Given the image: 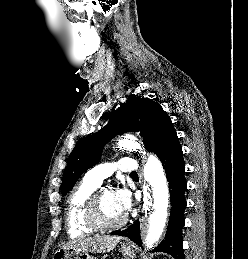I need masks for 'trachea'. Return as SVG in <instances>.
I'll use <instances>...</instances> for the list:
<instances>
[{"label": "trachea", "mask_w": 248, "mask_h": 259, "mask_svg": "<svg viewBox=\"0 0 248 259\" xmlns=\"http://www.w3.org/2000/svg\"><path fill=\"white\" fill-rule=\"evenodd\" d=\"M131 175H137V173H136V172H133V173H131Z\"/></svg>", "instance_id": "1"}]
</instances>
